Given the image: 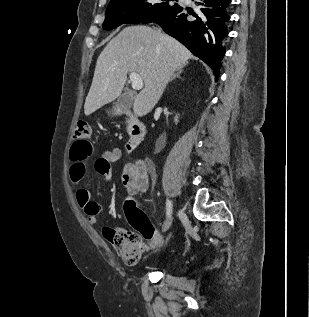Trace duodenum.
<instances>
[{
	"label": "duodenum",
	"instance_id": "obj_1",
	"mask_svg": "<svg viewBox=\"0 0 309 317\" xmlns=\"http://www.w3.org/2000/svg\"><path fill=\"white\" fill-rule=\"evenodd\" d=\"M124 113L128 118L127 149L132 151L142 142L146 130L144 124L132 112L125 111Z\"/></svg>",
	"mask_w": 309,
	"mask_h": 317
}]
</instances>
